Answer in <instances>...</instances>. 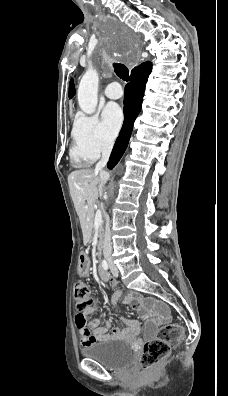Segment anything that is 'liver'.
I'll return each instance as SVG.
<instances>
[{
	"mask_svg": "<svg viewBox=\"0 0 228 396\" xmlns=\"http://www.w3.org/2000/svg\"><path fill=\"white\" fill-rule=\"evenodd\" d=\"M109 178V174L107 173ZM101 181L100 172L92 169H81L70 173L68 184L75 210L80 219L84 234V242L90 236V221L94 213V205L101 195L97 184Z\"/></svg>",
	"mask_w": 228,
	"mask_h": 396,
	"instance_id": "1",
	"label": "liver"
}]
</instances>
